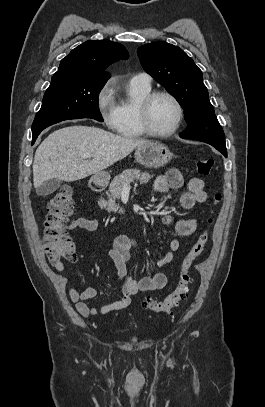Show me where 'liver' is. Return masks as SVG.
<instances>
[{
	"mask_svg": "<svg viewBox=\"0 0 265 407\" xmlns=\"http://www.w3.org/2000/svg\"><path fill=\"white\" fill-rule=\"evenodd\" d=\"M148 140L126 138L97 127L70 126L48 135L35 152L33 183L56 178L73 182L96 174L122 160ZM84 155H91L85 160Z\"/></svg>",
	"mask_w": 265,
	"mask_h": 407,
	"instance_id": "6515ba94",
	"label": "liver"
}]
</instances>
